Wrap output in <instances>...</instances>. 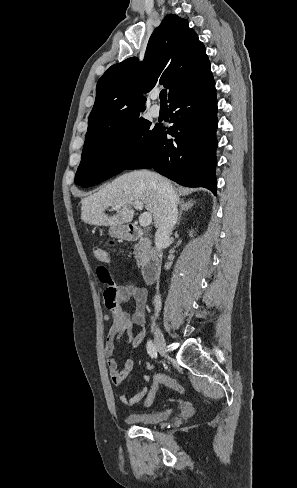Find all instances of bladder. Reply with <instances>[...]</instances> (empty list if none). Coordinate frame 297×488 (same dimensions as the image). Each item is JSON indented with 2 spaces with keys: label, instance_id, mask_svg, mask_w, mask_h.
<instances>
[{
  "label": "bladder",
  "instance_id": "31cf9c89",
  "mask_svg": "<svg viewBox=\"0 0 297 488\" xmlns=\"http://www.w3.org/2000/svg\"><path fill=\"white\" fill-rule=\"evenodd\" d=\"M169 416V411L155 413H129L126 415L125 420L131 425L152 426L168 419Z\"/></svg>",
  "mask_w": 297,
  "mask_h": 488
}]
</instances>
